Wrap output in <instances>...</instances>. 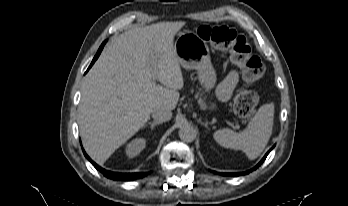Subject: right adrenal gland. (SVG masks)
<instances>
[{"mask_svg":"<svg viewBox=\"0 0 348 206\" xmlns=\"http://www.w3.org/2000/svg\"><path fill=\"white\" fill-rule=\"evenodd\" d=\"M148 125H150V129L153 130L156 125L161 124L160 122L153 121V122H148Z\"/></svg>","mask_w":348,"mask_h":206,"instance_id":"right-adrenal-gland-1","label":"right adrenal gland"}]
</instances>
